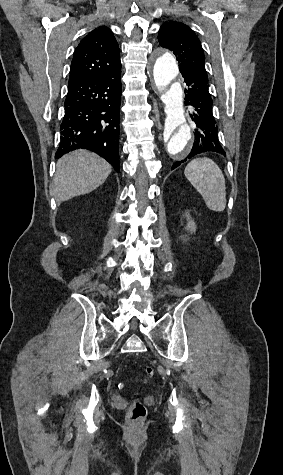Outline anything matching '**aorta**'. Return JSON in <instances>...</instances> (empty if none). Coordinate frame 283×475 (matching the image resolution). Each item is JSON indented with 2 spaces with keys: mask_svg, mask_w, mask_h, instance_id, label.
<instances>
[{
  "mask_svg": "<svg viewBox=\"0 0 283 475\" xmlns=\"http://www.w3.org/2000/svg\"><path fill=\"white\" fill-rule=\"evenodd\" d=\"M179 74L175 58L164 53L153 64V77L165 104L166 119L160 138L162 156L171 159L186 157L193 145L192 128L183 107V92L176 78Z\"/></svg>",
  "mask_w": 283,
  "mask_h": 475,
  "instance_id": "obj_1",
  "label": "aorta"
}]
</instances>
